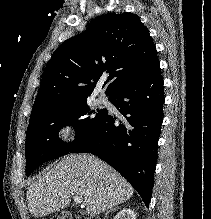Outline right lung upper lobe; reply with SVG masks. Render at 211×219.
Segmentation results:
<instances>
[{
	"label": "right lung upper lobe",
	"instance_id": "obj_1",
	"mask_svg": "<svg viewBox=\"0 0 211 219\" xmlns=\"http://www.w3.org/2000/svg\"><path fill=\"white\" fill-rule=\"evenodd\" d=\"M154 42L139 17L109 13L81 34L64 41L43 73L30 119L86 99L107 78L106 96L146 72L158 59Z\"/></svg>",
	"mask_w": 211,
	"mask_h": 219
}]
</instances>
